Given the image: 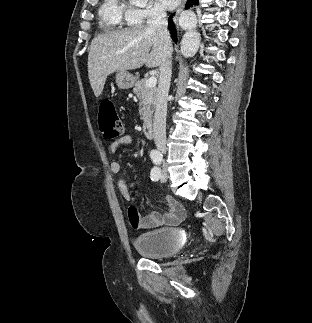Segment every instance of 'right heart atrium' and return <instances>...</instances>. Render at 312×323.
I'll list each match as a JSON object with an SVG mask.
<instances>
[{
  "label": "right heart atrium",
  "instance_id": "1",
  "mask_svg": "<svg viewBox=\"0 0 312 323\" xmlns=\"http://www.w3.org/2000/svg\"><path fill=\"white\" fill-rule=\"evenodd\" d=\"M124 17L131 22H151L152 17H166L164 6H135L134 10H124Z\"/></svg>",
  "mask_w": 312,
  "mask_h": 323
}]
</instances>
